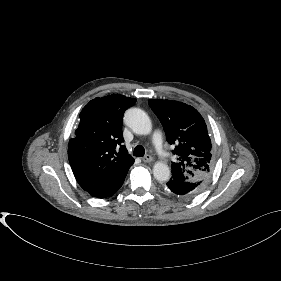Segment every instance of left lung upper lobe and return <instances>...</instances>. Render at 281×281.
I'll use <instances>...</instances> for the list:
<instances>
[{
    "label": "left lung upper lobe",
    "instance_id": "1",
    "mask_svg": "<svg viewBox=\"0 0 281 281\" xmlns=\"http://www.w3.org/2000/svg\"><path fill=\"white\" fill-rule=\"evenodd\" d=\"M152 111L161 121L167 141L176 145L172 151L177 161L172 162V177L182 183L209 180L214 167V153L207 126L200 113L182 102L150 99Z\"/></svg>",
    "mask_w": 281,
    "mask_h": 281
}]
</instances>
